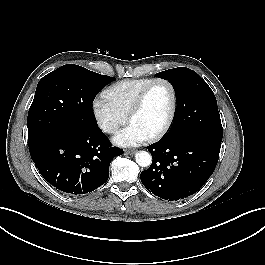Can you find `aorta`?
I'll return each mask as SVG.
<instances>
[{"mask_svg":"<svg viewBox=\"0 0 265 265\" xmlns=\"http://www.w3.org/2000/svg\"><path fill=\"white\" fill-rule=\"evenodd\" d=\"M136 163L141 167H148L152 163V157L149 152L139 151L135 154Z\"/></svg>","mask_w":265,"mask_h":265,"instance_id":"aorta-1","label":"aorta"}]
</instances>
